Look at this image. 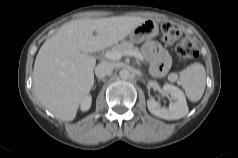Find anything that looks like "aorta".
<instances>
[{
	"mask_svg": "<svg viewBox=\"0 0 238 158\" xmlns=\"http://www.w3.org/2000/svg\"><path fill=\"white\" fill-rule=\"evenodd\" d=\"M119 76H120L121 79L126 80V79H129V78H130L131 74H130L129 70H127V69H122V70H120V72H119Z\"/></svg>",
	"mask_w": 238,
	"mask_h": 158,
	"instance_id": "1",
	"label": "aorta"
}]
</instances>
